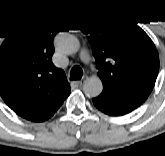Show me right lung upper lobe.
Wrapping results in <instances>:
<instances>
[{
    "mask_svg": "<svg viewBox=\"0 0 165 156\" xmlns=\"http://www.w3.org/2000/svg\"><path fill=\"white\" fill-rule=\"evenodd\" d=\"M64 29L44 22L11 34L0 47V95L29 121L49 119L70 94L64 71L52 63L53 38Z\"/></svg>",
    "mask_w": 165,
    "mask_h": 156,
    "instance_id": "1",
    "label": "right lung upper lobe"
}]
</instances>
